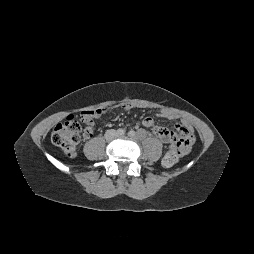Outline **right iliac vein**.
Segmentation results:
<instances>
[{
	"instance_id": "right-iliac-vein-1",
	"label": "right iliac vein",
	"mask_w": 254,
	"mask_h": 254,
	"mask_svg": "<svg viewBox=\"0 0 254 254\" xmlns=\"http://www.w3.org/2000/svg\"><path fill=\"white\" fill-rule=\"evenodd\" d=\"M116 137V133L114 131L109 132V138Z\"/></svg>"
}]
</instances>
